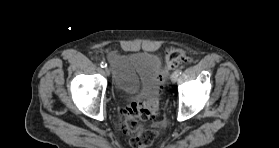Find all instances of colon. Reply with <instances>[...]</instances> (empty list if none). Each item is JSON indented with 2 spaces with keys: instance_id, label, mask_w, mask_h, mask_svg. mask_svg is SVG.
I'll use <instances>...</instances> for the list:
<instances>
[{
  "instance_id": "colon-1",
  "label": "colon",
  "mask_w": 279,
  "mask_h": 148,
  "mask_svg": "<svg viewBox=\"0 0 279 148\" xmlns=\"http://www.w3.org/2000/svg\"><path fill=\"white\" fill-rule=\"evenodd\" d=\"M189 60L184 50L171 47L165 55V71L160 80L165 78L169 70ZM159 110L158 91L146 102H133L124 110L122 128L130 136L133 148H148L154 144L161 135V123L156 120Z\"/></svg>"
}]
</instances>
